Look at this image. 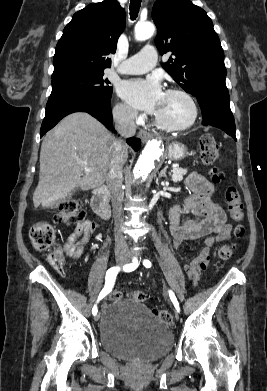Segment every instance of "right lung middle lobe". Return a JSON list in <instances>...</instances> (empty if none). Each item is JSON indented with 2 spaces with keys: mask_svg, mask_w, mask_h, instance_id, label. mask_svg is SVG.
I'll return each mask as SVG.
<instances>
[{
  "mask_svg": "<svg viewBox=\"0 0 267 391\" xmlns=\"http://www.w3.org/2000/svg\"><path fill=\"white\" fill-rule=\"evenodd\" d=\"M104 71H73L52 76V92L49 100L66 95H83L111 100L112 87L103 79Z\"/></svg>",
  "mask_w": 267,
  "mask_h": 391,
  "instance_id": "1",
  "label": "right lung middle lobe"
}]
</instances>
